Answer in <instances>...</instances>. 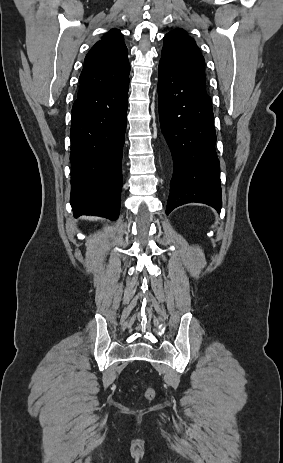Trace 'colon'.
I'll return each instance as SVG.
<instances>
[{
	"label": "colon",
	"mask_w": 283,
	"mask_h": 463,
	"mask_svg": "<svg viewBox=\"0 0 283 463\" xmlns=\"http://www.w3.org/2000/svg\"><path fill=\"white\" fill-rule=\"evenodd\" d=\"M154 396H155L154 390H153L152 388H148V389L146 390V392H145V397H146V399L152 400V399L154 398Z\"/></svg>",
	"instance_id": "5ec220e1"
}]
</instances>
